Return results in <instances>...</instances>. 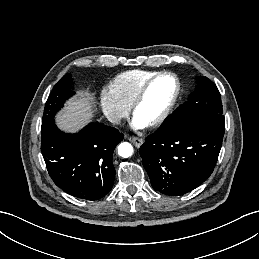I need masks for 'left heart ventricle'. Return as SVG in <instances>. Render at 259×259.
Here are the masks:
<instances>
[{
	"mask_svg": "<svg viewBox=\"0 0 259 259\" xmlns=\"http://www.w3.org/2000/svg\"><path fill=\"white\" fill-rule=\"evenodd\" d=\"M175 92V83L171 77L156 80L148 89L138 106L135 117L145 124L157 119L166 109Z\"/></svg>",
	"mask_w": 259,
	"mask_h": 259,
	"instance_id": "1",
	"label": "left heart ventricle"
}]
</instances>
